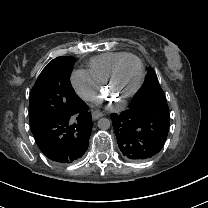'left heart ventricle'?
I'll return each instance as SVG.
<instances>
[{
	"instance_id": "1",
	"label": "left heart ventricle",
	"mask_w": 208,
	"mask_h": 208,
	"mask_svg": "<svg viewBox=\"0 0 208 208\" xmlns=\"http://www.w3.org/2000/svg\"><path fill=\"white\" fill-rule=\"evenodd\" d=\"M139 79L140 67L138 62L133 58L123 60L109 85V95L113 98H122L136 87Z\"/></svg>"
}]
</instances>
